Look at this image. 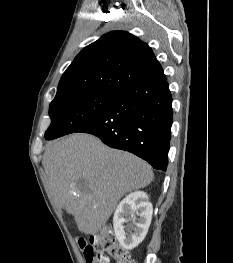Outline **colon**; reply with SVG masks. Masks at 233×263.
Listing matches in <instances>:
<instances>
[{
    "label": "colon",
    "mask_w": 233,
    "mask_h": 263,
    "mask_svg": "<svg viewBox=\"0 0 233 263\" xmlns=\"http://www.w3.org/2000/svg\"><path fill=\"white\" fill-rule=\"evenodd\" d=\"M87 263H109L110 258L116 263H136L132 254L117 241L111 229H104L94 234L88 243H82Z\"/></svg>",
    "instance_id": "1"
}]
</instances>
